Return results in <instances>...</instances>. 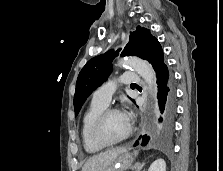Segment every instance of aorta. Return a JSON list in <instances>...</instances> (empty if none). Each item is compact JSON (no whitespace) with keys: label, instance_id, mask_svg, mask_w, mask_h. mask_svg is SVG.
Here are the masks:
<instances>
[{"label":"aorta","instance_id":"762f6f07","mask_svg":"<svg viewBox=\"0 0 223 171\" xmlns=\"http://www.w3.org/2000/svg\"><path fill=\"white\" fill-rule=\"evenodd\" d=\"M118 65L120 67L128 66L133 68L147 83L150 94L153 95L156 93V74L151 64H149L147 61L137 57H128L120 60Z\"/></svg>","mask_w":223,"mask_h":171}]
</instances>
